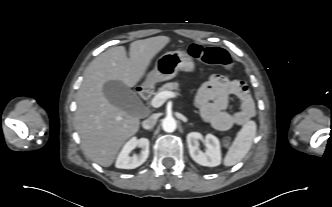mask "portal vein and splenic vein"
I'll list each match as a JSON object with an SVG mask.
<instances>
[{
	"label": "portal vein and splenic vein",
	"instance_id": "1",
	"mask_svg": "<svg viewBox=\"0 0 332 207\" xmlns=\"http://www.w3.org/2000/svg\"><path fill=\"white\" fill-rule=\"evenodd\" d=\"M177 94L172 91H163L161 93H158L151 101V105L154 108H158L163 105V103L169 99L176 97Z\"/></svg>",
	"mask_w": 332,
	"mask_h": 207
}]
</instances>
